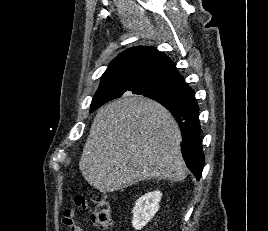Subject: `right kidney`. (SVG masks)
Wrapping results in <instances>:
<instances>
[{
    "mask_svg": "<svg viewBox=\"0 0 268 231\" xmlns=\"http://www.w3.org/2000/svg\"><path fill=\"white\" fill-rule=\"evenodd\" d=\"M162 193L160 191L148 192L141 196L133 208L132 225L141 230L158 212Z\"/></svg>",
    "mask_w": 268,
    "mask_h": 231,
    "instance_id": "1",
    "label": "right kidney"
}]
</instances>
